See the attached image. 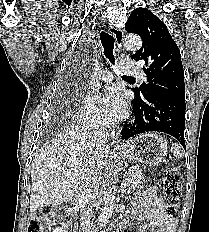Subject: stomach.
Masks as SVG:
<instances>
[{
	"instance_id": "0dacf381",
	"label": "stomach",
	"mask_w": 209,
	"mask_h": 232,
	"mask_svg": "<svg viewBox=\"0 0 209 232\" xmlns=\"http://www.w3.org/2000/svg\"><path fill=\"white\" fill-rule=\"evenodd\" d=\"M119 150L129 160L158 166L165 159L168 147L160 136L145 133L121 145Z\"/></svg>"
}]
</instances>
